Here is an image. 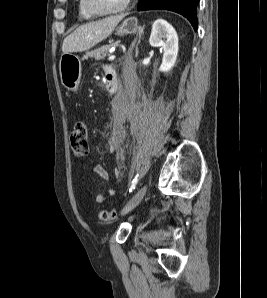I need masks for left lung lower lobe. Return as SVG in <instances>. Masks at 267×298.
I'll return each mask as SVG.
<instances>
[{
	"label": "left lung lower lobe",
	"mask_w": 267,
	"mask_h": 298,
	"mask_svg": "<svg viewBox=\"0 0 267 298\" xmlns=\"http://www.w3.org/2000/svg\"><path fill=\"white\" fill-rule=\"evenodd\" d=\"M199 0H139L138 11L144 10H171L186 17L197 30L198 20L196 8Z\"/></svg>",
	"instance_id": "1"
}]
</instances>
